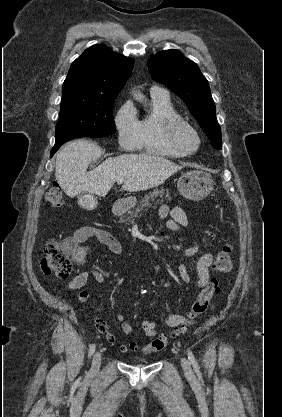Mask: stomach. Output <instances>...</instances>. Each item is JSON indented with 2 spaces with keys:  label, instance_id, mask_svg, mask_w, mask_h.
<instances>
[{
  "label": "stomach",
  "instance_id": "0dacf381",
  "mask_svg": "<svg viewBox=\"0 0 282 417\" xmlns=\"http://www.w3.org/2000/svg\"><path fill=\"white\" fill-rule=\"evenodd\" d=\"M213 176L207 170H188L180 176L177 186L180 194L188 198V200H202L213 190ZM129 209L135 206L137 202L136 196H128L123 198Z\"/></svg>",
  "mask_w": 282,
  "mask_h": 417
}]
</instances>
